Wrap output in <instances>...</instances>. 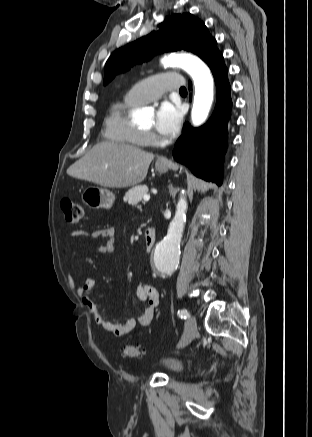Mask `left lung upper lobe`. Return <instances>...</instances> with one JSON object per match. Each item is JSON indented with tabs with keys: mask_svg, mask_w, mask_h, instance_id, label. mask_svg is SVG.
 Here are the masks:
<instances>
[{
	"mask_svg": "<svg viewBox=\"0 0 312 437\" xmlns=\"http://www.w3.org/2000/svg\"><path fill=\"white\" fill-rule=\"evenodd\" d=\"M187 50L207 64L219 52L216 40L204 23L190 13L166 17L159 29L111 54L105 65L104 85L134 63L164 51Z\"/></svg>",
	"mask_w": 312,
	"mask_h": 437,
	"instance_id": "left-lung-upper-lobe-1",
	"label": "left lung upper lobe"
}]
</instances>
